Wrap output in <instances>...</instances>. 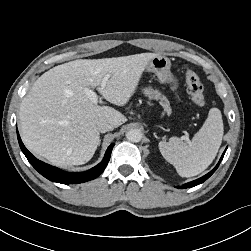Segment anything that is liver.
Wrapping results in <instances>:
<instances>
[{
    "instance_id": "1",
    "label": "liver",
    "mask_w": 251,
    "mask_h": 251,
    "mask_svg": "<svg viewBox=\"0 0 251 251\" xmlns=\"http://www.w3.org/2000/svg\"><path fill=\"white\" fill-rule=\"evenodd\" d=\"M157 55L79 59L42 74L20 105V134L25 146L55 166L88 162L100 144L97 121L106 119L118 127L127 119L112 107L93 104L84 90L98 89L110 103L124 106Z\"/></svg>"
}]
</instances>
